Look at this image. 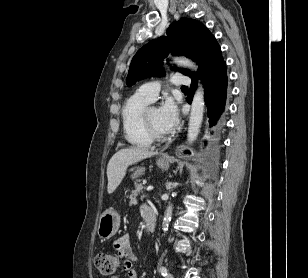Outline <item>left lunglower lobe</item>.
Segmentation results:
<instances>
[{
	"mask_svg": "<svg viewBox=\"0 0 308 278\" xmlns=\"http://www.w3.org/2000/svg\"><path fill=\"white\" fill-rule=\"evenodd\" d=\"M203 87L205 89V102L208 109V117L210 118V126L216 124L219 116L222 114L226 101L227 92V73L226 62L223 61L219 66L201 77ZM197 82L192 78L188 102L191 103L195 92Z\"/></svg>",
	"mask_w": 308,
	"mask_h": 278,
	"instance_id": "0a47b994",
	"label": "left lung lower lobe"
}]
</instances>
